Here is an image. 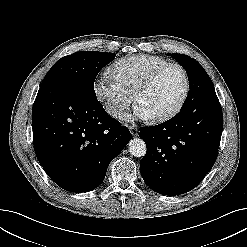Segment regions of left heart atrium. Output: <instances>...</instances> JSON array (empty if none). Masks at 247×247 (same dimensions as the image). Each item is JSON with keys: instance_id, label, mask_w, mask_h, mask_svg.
I'll list each match as a JSON object with an SVG mask.
<instances>
[{"instance_id": "obj_1", "label": "left heart atrium", "mask_w": 247, "mask_h": 247, "mask_svg": "<svg viewBox=\"0 0 247 247\" xmlns=\"http://www.w3.org/2000/svg\"><path fill=\"white\" fill-rule=\"evenodd\" d=\"M123 118L127 121H134V120H148L151 119L152 116L148 113V111L137 104L132 113H127L123 116Z\"/></svg>"}]
</instances>
